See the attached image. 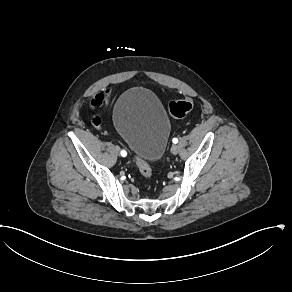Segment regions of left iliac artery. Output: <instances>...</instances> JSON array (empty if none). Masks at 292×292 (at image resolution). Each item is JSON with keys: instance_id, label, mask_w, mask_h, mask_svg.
I'll use <instances>...</instances> for the list:
<instances>
[{"instance_id": "44dca946", "label": "left iliac artery", "mask_w": 292, "mask_h": 292, "mask_svg": "<svg viewBox=\"0 0 292 292\" xmlns=\"http://www.w3.org/2000/svg\"><path fill=\"white\" fill-rule=\"evenodd\" d=\"M172 141H173V143H175V144L178 143V139H177V138H173Z\"/></svg>"}]
</instances>
